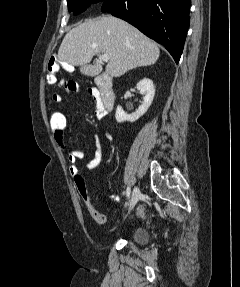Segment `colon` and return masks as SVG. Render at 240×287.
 <instances>
[{
	"label": "colon",
	"instance_id": "1",
	"mask_svg": "<svg viewBox=\"0 0 240 287\" xmlns=\"http://www.w3.org/2000/svg\"><path fill=\"white\" fill-rule=\"evenodd\" d=\"M58 62L55 57H51L49 59L47 65V82L49 84L56 83V73L58 72ZM59 86L65 88L68 91H76L79 88V85L74 81L68 80H61L59 81ZM49 124L50 128L55 135H62L66 128V118L65 116L58 110H54L49 115ZM74 181L79 192V195L89 212L92 218L99 224H105L107 222V218L104 214H102L95 206L94 202L92 201L90 194L88 192L87 186L83 177L79 174L74 176Z\"/></svg>",
	"mask_w": 240,
	"mask_h": 287
}]
</instances>
